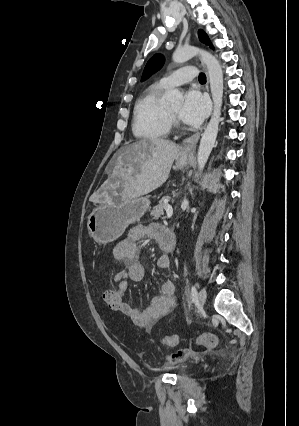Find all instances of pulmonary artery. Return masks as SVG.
Returning a JSON list of instances; mask_svg holds the SVG:
<instances>
[{
    "label": "pulmonary artery",
    "mask_w": 299,
    "mask_h": 426,
    "mask_svg": "<svg viewBox=\"0 0 299 426\" xmlns=\"http://www.w3.org/2000/svg\"><path fill=\"white\" fill-rule=\"evenodd\" d=\"M197 76V69L193 66L182 67L160 79V83L166 87H174L188 83Z\"/></svg>",
    "instance_id": "1"
}]
</instances>
